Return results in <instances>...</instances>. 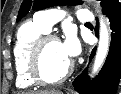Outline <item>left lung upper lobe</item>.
<instances>
[{"label":"left lung upper lobe","instance_id":"obj_1","mask_svg":"<svg viewBox=\"0 0 121 94\" xmlns=\"http://www.w3.org/2000/svg\"><path fill=\"white\" fill-rule=\"evenodd\" d=\"M103 7V13L108 14L114 8L120 6L118 0H99ZM78 5L81 4L80 0H24L21 4L17 21L23 18L31 8L34 10H41L44 8L56 6V5Z\"/></svg>","mask_w":121,"mask_h":94}]
</instances>
